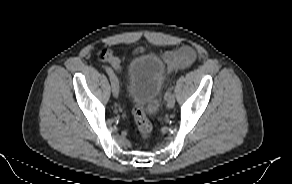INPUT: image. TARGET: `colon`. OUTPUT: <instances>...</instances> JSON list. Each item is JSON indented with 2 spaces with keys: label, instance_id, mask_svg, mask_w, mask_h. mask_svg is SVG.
Instances as JSON below:
<instances>
[{
  "label": "colon",
  "instance_id": "5ec220e1",
  "mask_svg": "<svg viewBox=\"0 0 292 184\" xmlns=\"http://www.w3.org/2000/svg\"><path fill=\"white\" fill-rule=\"evenodd\" d=\"M98 57L101 61L110 62L115 56L111 50L105 48L100 50ZM133 115L140 135L144 139L148 138L152 132L153 126L147 118L144 109L139 105H135L133 108Z\"/></svg>",
  "mask_w": 292,
  "mask_h": 184
}]
</instances>
